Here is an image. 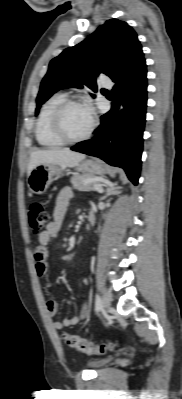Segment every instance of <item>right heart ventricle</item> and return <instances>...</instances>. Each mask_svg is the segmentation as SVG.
<instances>
[{
    "instance_id": "e07e8e85",
    "label": "right heart ventricle",
    "mask_w": 182,
    "mask_h": 399,
    "mask_svg": "<svg viewBox=\"0 0 182 399\" xmlns=\"http://www.w3.org/2000/svg\"><path fill=\"white\" fill-rule=\"evenodd\" d=\"M66 99L64 93L53 94L43 104L35 127L38 143L46 148H56L64 143L55 135L52 129V115L56 107Z\"/></svg>"
}]
</instances>
